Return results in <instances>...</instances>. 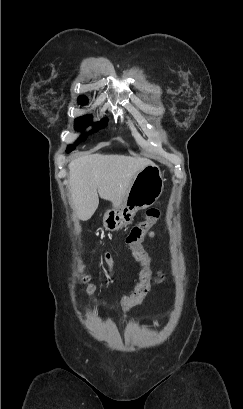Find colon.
<instances>
[{
  "label": "colon",
  "mask_w": 243,
  "mask_h": 409,
  "mask_svg": "<svg viewBox=\"0 0 243 409\" xmlns=\"http://www.w3.org/2000/svg\"><path fill=\"white\" fill-rule=\"evenodd\" d=\"M160 217V211L157 208H150L146 212V218L144 221L134 226L125 239V244L133 253L136 258H143V250L141 247L142 238L145 232H147L152 226H154ZM80 279L86 288L88 294H91L94 290L93 285L89 281V275L82 267L80 271ZM147 293V289L144 286H137L135 290L128 296L122 299V306L124 308L131 307L142 301Z\"/></svg>",
  "instance_id": "colon-1"
}]
</instances>
